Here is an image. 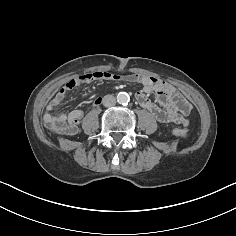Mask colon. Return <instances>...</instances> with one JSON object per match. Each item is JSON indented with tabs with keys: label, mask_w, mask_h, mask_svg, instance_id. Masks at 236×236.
<instances>
[{
	"label": "colon",
	"mask_w": 236,
	"mask_h": 236,
	"mask_svg": "<svg viewBox=\"0 0 236 236\" xmlns=\"http://www.w3.org/2000/svg\"><path fill=\"white\" fill-rule=\"evenodd\" d=\"M111 75V73L109 72H100L98 74V76L102 77V78H108ZM175 134L181 137H186V133L183 130L180 129H176L175 130Z\"/></svg>",
	"instance_id": "1"
}]
</instances>
